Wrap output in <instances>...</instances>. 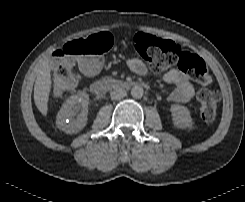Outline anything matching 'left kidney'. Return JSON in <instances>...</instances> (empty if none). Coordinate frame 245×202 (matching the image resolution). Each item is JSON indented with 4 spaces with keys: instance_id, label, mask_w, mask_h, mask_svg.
Listing matches in <instances>:
<instances>
[{
    "instance_id": "obj_1",
    "label": "left kidney",
    "mask_w": 245,
    "mask_h": 202,
    "mask_svg": "<svg viewBox=\"0 0 245 202\" xmlns=\"http://www.w3.org/2000/svg\"><path fill=\"white\" fill-rule=\"evenodd\" d=\"M172 113L173 124L178 128H190L192 127V118L188 108L181 105H172L170 107Z\"/></svg>"
}]
</instances>
